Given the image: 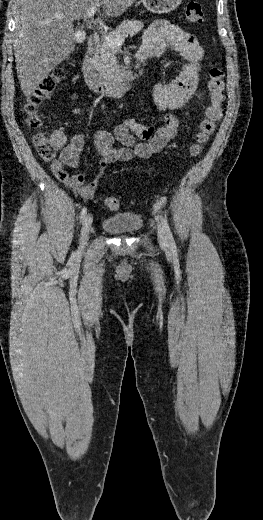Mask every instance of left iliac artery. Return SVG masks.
<instances>
[{
  "label": "left iliac artery",
  "mask_w": 263,
  "mask_h": 520,
  "mask_svg": "<svg viewBox=\"0 0 263 520\" xmlns=\"http://www.w3.org/2000/svg\"><path fill=\"white\" fill-rule=\"evenodd\" d=\"M160 218H161L162 225H163V227H164V229H165V231L167 233L170 245H171L172 248H175L176 244H175L172 232L170 230V227H169V225L167 223V220L162 215H160Z\"/></svg>",
  "instance_id": "1"
}]
</instances>
